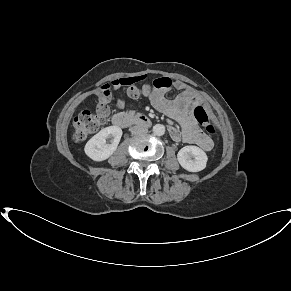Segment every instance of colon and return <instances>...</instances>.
<instances>
[{"label":"colon","instance_id":"colon-1","mask_svg":"<svg viewBox=\"0 0 291 291\" xmlns=\"http://www.w3.org/2000/svg\"><path fill=\"white\" fill-rule=\"evenodd\" d=\"M127 86L128 95L131 98H138L141 95L150 94L153 88L168 86L169 82L163 80L160 82H153L151 85L143 77L121 78L114 80L111 84L102 85L97 91L99 102L95 110H84L77 114L73 120L74 138L77 141H82L89 135L98 132L105 124L109 113V102L111 100V86ZM196 120L203 126V128L211 135L218 133V124L214 119L211 110L206 105H197L193 111Z\"/></svg>","mask_w":291,"mask_h":291}]
</instances>
